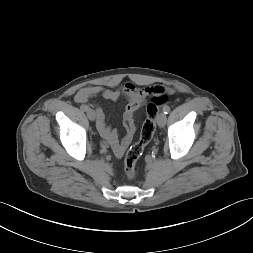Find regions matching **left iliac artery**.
I'll return each instance as SVG.
<instances>
[{"label":"left iliac artery","mask_w":253,"mask_h":253,"mask_svg":"<svg viewBox=\"0 0 253 253\" xmlns=\"http://www.w3.org/2000/svg\"><path fill=\"white\" fill-rule=\"evenodd\" d=\"M163 112H164L165 114H168V113L170 112V107H169V106H164Z\"/></svg>","instance_id":"left-iliac-artery-1"}]
</instances>
